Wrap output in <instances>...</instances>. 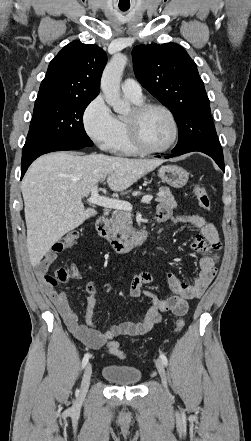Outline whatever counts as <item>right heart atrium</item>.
Masks as SVG:
<instances>
[{
  "mask_svg": "<svg viewBox=\"0 0 251 441\" xmlns=\"http://www.w3.org/2000/svg\"><path fill=\"white\" fill-rule=\"evenodd\" d=\"M82 119L89 138L100 148L110 149L118 133V125L102 95H97L88 103Z\"/></svg>",
  "mask_w": 251,
  "mask_h": 441,
  "instance_id": "right-heart-atrium-1",
  "label": "right heart atrium"
}]
</instances>
